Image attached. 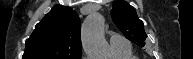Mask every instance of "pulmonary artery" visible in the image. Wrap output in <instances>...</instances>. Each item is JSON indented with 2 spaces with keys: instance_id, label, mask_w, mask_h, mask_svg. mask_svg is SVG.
I'll use <instances>...</instances> for the list:
<instances>
[{
  "instance_id": "obj_1",
  "label": "pulmonary artery",
  "mask_w": 193,
  "mask_h": 59,
  "mask_svg": "<svg viewBox=\"0 0 193 59\" xmlns=\"http://www.w3.org/2000/svg\"><path fill=\"white\" fill-rule=\"evenodd\" d=\"M109 41L114 51H126L131 49L130 43H128L122 35L117 33H110Z\"/></svg>"
}]
</instances>
